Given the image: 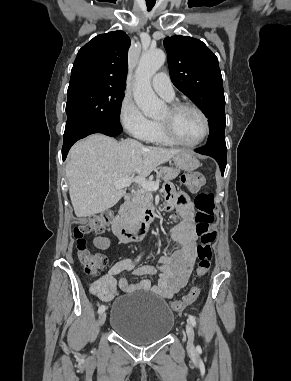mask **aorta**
I'll return each instance as SVG.
<instances>
[{
	"instance_id": "1",
	"label": "aorta",
	"mask_w": 291,
	"mask_h": 381,
	"mask_svg": "<svg viewBox=\"0 0 291 381\" xmlns=\"http://www.w3.org/2000/svg\"><path fill=\"white\" fill-rule=\"evenodd\" d=\"M164 62L165 54L161 49L144 51L135 71L133 97L146 117L158 116L164 106V103L155 95L151 87L152 76Z\"/></svg>"
}]
</instances>
